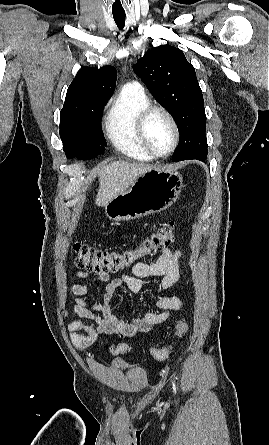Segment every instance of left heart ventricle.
Masks as SVG:
<instances>
[{
  "instance_id": "obj_1",
  "label": "left heart ventricle",
  "mask_w": 269,
  "mask_h": 445,
  "mask_svg": "<svg viewBox=\"0 0 269 445\" xmlns=\"http://www.w3.org/2000/svg\"><path fill=\"white\" fill-rule=\"evenodd\" d=\"M146 136L152 148L159 154L166 153L173 143V128L168 118L160 113H153L146 125Z\"/></svg>"
}]
</instances>
